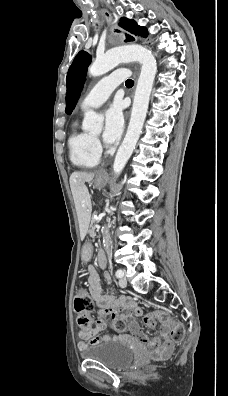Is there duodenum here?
Here are the masks:
<instances>
[{
	"mask_svg": "<svg viewBox=\"0 0 228 396\" xmlns=\"http://www.w3.org/2000/svg\"><path fill=\"white\" fill-rule=\"evenodd\" d=\"M99 265H100L101 267H104V266L106 265V260H105L103 257H100V258H99Z\"/></svg>",
	"mask_w": 228,
	"mask_h": 396,
	"instance_id": "410a0bca",
	"label": "duodenum"
}]
</instances>
